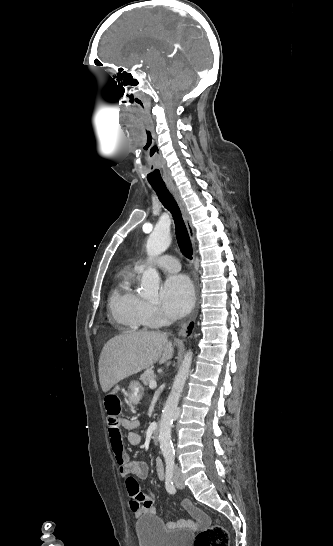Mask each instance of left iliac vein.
<instances>
[{
  "label": "left iliac vein",
  "instance_id": "left-iliac-vein-1",
  "mask_svg": "<svg viewBox=\"0 0 333 546\" xmlns=\"http://www.w3.org/2000/svg\"><path fill=\"white\" fill-rule=\"evenodd\" d=\"M173 480H174V483H175L177 488H179V489L184 488V482L182 480L180 470L178 468H176V470H175Z\"/></svg>",
  "mask_w": 333,
  "mask_h": 546
}]
</instances>
